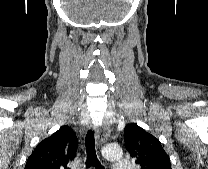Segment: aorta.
<instances>
[{
	"mask_svg": "<svg viewBox=\"0 0 208 169\" xmlns=\"http://www.w3.org/2000/svg\"><path fill=\"white\" fill-rule=\"evenodd\" d=\"M102 154L108 160H118L122 157L123 152L120 146L108 144L102 149Z\"/></svg>",
	"mask_w": 208,
	"mask_h": 169,
	"instance_id": "aorta-1",
	"label": "aorta"
}]
</instances>
